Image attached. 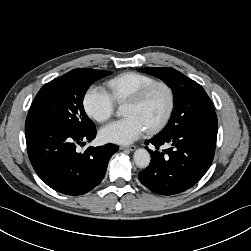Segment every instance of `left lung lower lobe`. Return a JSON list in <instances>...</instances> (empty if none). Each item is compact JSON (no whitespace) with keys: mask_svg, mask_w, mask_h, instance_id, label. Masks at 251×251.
Segmentation results:
<instances>
[{"mask_svg":"<svg viewBox=\"0 0 251 251\" xmlns=\"http://www.w3.org/2000/svg\"><path fill=\"white\" fill-rule=\"evenodd\" d=\"M196 113L192 123L145 142L157 149L149 150L151 163L139 173L140 182L151 191L160 195L184 192L195 185L210 167L217 139V117L208 102H202ZM167 144L171 147L158 150Z\"/></svg>","mask_w":251,"mask_h":251,"instance_id":"obj_1","label":"left lung lower lobe"}]
</instances>
